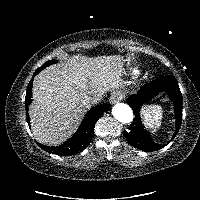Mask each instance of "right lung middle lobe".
<instances>
[{"label": "right lung middle lobe", "instance_id": "obj_1", "mask_svg": "<svg viewBox=\"0 0 200 200\" xmlns=\"http://www.w3.org/2000/svg\"><path fill=\"white\" fill-rule=\"evenodd\" d=\"M54 63H56V60H49V61H47L46 63H44L41 67H39V68L35 71L34 75H37V74H38L41 70H43L45 67L50 66L51 64H54Z\"/></svg>", "mask_w": 200, "mask_h": 200}]
</instances>
